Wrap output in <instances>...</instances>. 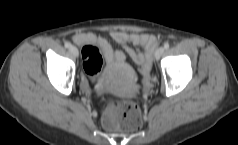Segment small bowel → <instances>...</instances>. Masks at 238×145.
<instances>
[{
	"label": "small bowel",
	"instance_id": "small-bowel-1",
	"mask_svg": "<svg viewBox=\"0 0 238 145\" xmlns=\"http://www.w3.org/2000/svg\"><path fill=\"white\" fill-rule=\"evenodd\" d=\"M110 37L123 46L125 53L139 67L143 85L148 87L152 68V55L157 46L156 37L147 33H128L123 30L111 31ZM73 40L79 45H95L100 54L109 63H122L125 61L124 52L114 51L104 37L94 33L77 32L74 34ZM138 48H141V50Z\"/></svg>",
	"mask_w": 238,
	"mask_h": 145
}]
</instances>
